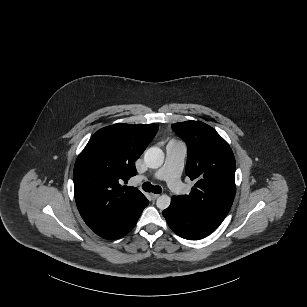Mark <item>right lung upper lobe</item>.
Instances as JSON below:
<instances>
[{
	"mask_svg": "<svg viewBox=\"0 0 307 307\" xmlns=\"http://www.w3.org/2000/svg\"><path fill=\"white\" fill-rule=\"evenodd\" d=\"M158 124H114L98 130L78 156L73 172L75 201L94 229L121 216L144 195L122 186L136 174L134 162L158 131Z\"/></svg>",
	"mask_w": 307,
	"mask_h": 307,
	"instance_id": "right-lung-upper-lobe-1",
	"label": "right lung upper lobe"
}]
</instances>
